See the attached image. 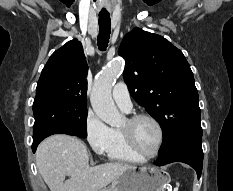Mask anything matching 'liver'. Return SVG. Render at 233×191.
<instances>
[{
    "label": "liver",
    "mask_w": 233,
    "mask_h": 191,
    "mask_svg": "<svg viewBox=\"0 0 233 191\" xmlns=\"http://www.w3.org/2000/svg\"><path fill=\"white\" fill-rule=\"evenodd\" d=\"M36 165L50 191H100L132 167L122 162L91 167L84 142L65 134L39 144ZM66 176L70 178L65 181Z\"/></svg>",
    "instance_id": "obj_1"
}]
</instances>
